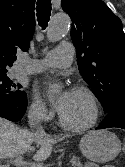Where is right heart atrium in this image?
<instances>
[{"instance_id": "right-heart-atrium-1", "label": "right heart atrium", "mask_w": 125, "mask_h": 167, "mask_svg": "<svg viewBox=\"0 0 125 167\" xmlns=\"http://www.w3.org/2000/svg\"><path fill=\"white\" fill-rule=\"evenodd\" d=\"M28 113L33 120L38 122H49L53 118V112L36 95L31 97Z\"/></svg>"}]
</instances>
